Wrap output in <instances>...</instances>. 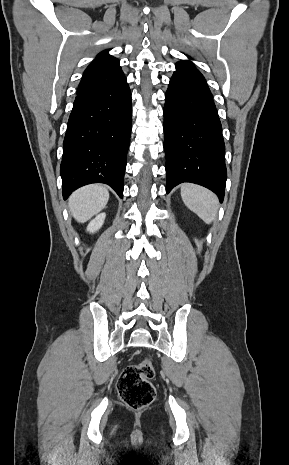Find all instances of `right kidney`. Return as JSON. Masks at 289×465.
Here are the masks:
<instances>
[{"label":"right kidney","instance_id":"1","mask_svg":"<svg viewBox=\"0 0 289 465\" xmlns=\"http://www.w3.org/2000/svg\"><path fill=\"white\" fill-rule=\"evenodd\" d=\"M105 217H106V214L105 213H101L99 215H97L87 226V231L90 232V233H94L96 231H98L103 223H104V220H105Z\"/></svg>","mask_w":289,"mask_h":465}]
</instances>
